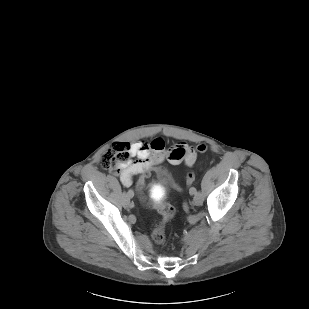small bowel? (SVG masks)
<instances>
[{"label": "small bowel", "mask_w": 309, "mask_h": 309, "mask_svg": "<svg viewBox=\"0 0 309 309\" xmlns=\"http://www.w3.org/2000/svg\"><path fill=\"white\" fill-rule=\"evenodd\" d=\"M131 154L135 158L126 163L119 171V176L125 186H130L132 178L137 174L150 173L154 167L168 160L172 164L192 166L197 159V152L193 146L181 142L176 144L170 152H166L165 141L154 138L151 141H135L131 144Z\"/></svg>", "instance_id": "1"}]
</instances>
